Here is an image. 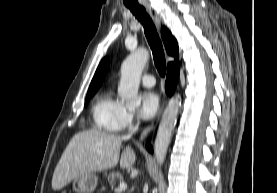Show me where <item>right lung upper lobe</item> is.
<instances>
[{
	"label": "right lung upper lobe",
	"instance_id": "obj_1",
	"mask_svg": "<svg viewBox=\"0 0 277 193\" xmlns=\"http://www.w3.org/2000/svg\"><path fill=\"white\" fill-rule=\"evenodd\" d=\"M161 36L166 48V51L169 55L174 56L175 58L178 57V44L176 39L172 36L171 32L166 28L162 27L161 28ZM109 64V58H104L101 63L99 64L96 73L92 79V82L89 86L88 93H95L99 86L101 85L106 71H107V66Z\"/></svg>",
	"mask_w": 277,
	"mask_h": 193
}]
</instances>
